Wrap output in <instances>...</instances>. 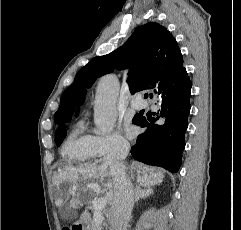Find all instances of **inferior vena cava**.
<instances>
[{"label":"inferior vena cava","instance_id":"inferior-vena-cava-1","mask_svg":"<svg viewBox=\"0 0 241 230\" xmlns=\"http://www.w3.org/2000/svg\"><path fill=\"white\" fill-rule=\"evenodd\" d=\"M129 151L128 144H122L118 150L104 157L109 166L114 185V197L109 210V230H127L134 206V192L122 162Z\"/></svg>","mask_w":241,"mask_h":230}]
</instances>
